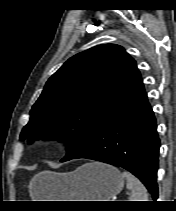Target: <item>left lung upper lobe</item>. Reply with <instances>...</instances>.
<instances>
[{
  "label": "left lung upper lobe",
  "mask_w": 176,
  "mask_h": 211,
  "mask_svg": "<svg viewBox=\"0 0 176 211\" xmlns=\"http://www.w3.org/2000/svg\"><path fill=\"white\" fill-rule=\"evenodd\" d=\"M145 92L135 60L115 44L95 46L71 57L47 81L30 111L20 140L58 139L68 161L92 140L122 106Z\"/></svg>",
  "instance_id": "left-lung-upper-lobe-1"
}]
</instances>
